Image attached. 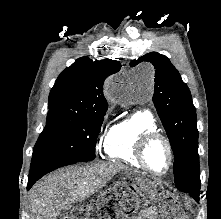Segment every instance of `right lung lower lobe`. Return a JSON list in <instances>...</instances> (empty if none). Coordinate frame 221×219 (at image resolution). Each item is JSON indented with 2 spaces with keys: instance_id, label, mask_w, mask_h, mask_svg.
Wrapping results in <instances>:
<instances>
[{
  "instance_id": "right-lung-lower-lobe-1",
  "label": "right lung lower lobe",
  "mask_w": 221,
  "mask_h": 219,
  "mask_svg": "<svg viewBox=\"0 0 221 219\" xmlns=\"http://www.w3.org/2000/svg\"><path fill=\"white\" fill-rule=\"evenodd\" d=\"M75 163H77V161L62 158L58 155L46 152L33 155L27 189H30L32 185L46 173Z\"/></svg>"
}]
</instances>
